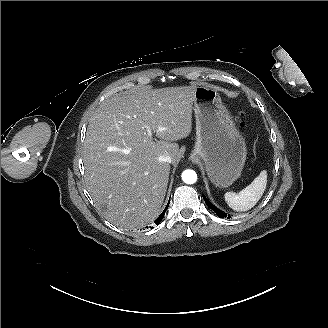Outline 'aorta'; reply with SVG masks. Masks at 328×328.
I'll use <instances>...</instances> for the list:
<instances>
[{
	"instance_id": "obj_1",
	"label": "aorta",
	"mask_w": 328,
	"mask_h": 328,
	"mask_svg": "<svg viewBox=\"0 0 328 328\" xmlns=\"http://www.w3.org/2000/svg\"><path fill=\"white\" fill-rule=\"evenodd\" d=\"M182 180L186 184H194L197 181V174L194 170H185L182 172Z\"/></svg>"
}]
</instances>
